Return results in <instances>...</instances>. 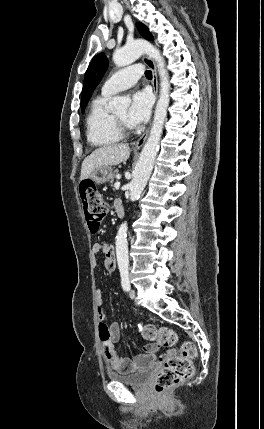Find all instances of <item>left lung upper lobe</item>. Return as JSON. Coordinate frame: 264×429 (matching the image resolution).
I'll return each mask as SVG.
<instances>
[{"mask_svg":"<svg viewBox=\"0 0 264 429\" xmlns=\"http://www.w3.org/2000/svg\"><path fill=\"white\" fill-rule=\"evenodd\" d=\"M137 28H138L140 34L144 38H146L148 40L153 39L151 33L148 31V29L146 28L145 25L138 23ZM107 67H108V61H107V58L104 54H102V53L98 54L92 59L90 65L86 71L85 79H84V83H83L82 97H81L82 113L85 110V107H86V105H87V103L91 97L92 92L94 91L96 86L101 81Z\"/></svg>","mask_w":264,"mask_h":429,"instance_id":"5c2ea615","label":"left lung upper lobe"}]
</instances>
